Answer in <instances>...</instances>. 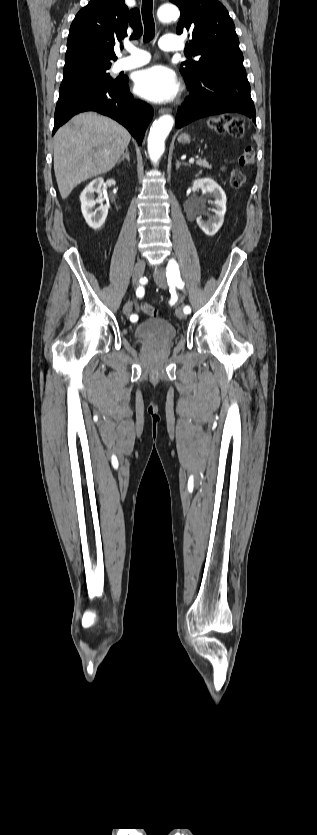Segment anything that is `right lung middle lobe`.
Instances as JSON below:
<instances>
[{"label": "right lung middle lobe", "instance_id": "obj_1", "mask_svg": "<svg viewBox=\"0 0 317 835\" xmlns=\"http://www.w3.org/2000/svg\"><path fill=\"white\" fill-rule=\"evenodd\" d=\"M110 67V61L95 57L66 60L60 91H66L89 83L121 80V77L112 78L110 76L108 72Z\"/></svg>", "mask_w": 317, "mask_h": 835}]
</instances>
